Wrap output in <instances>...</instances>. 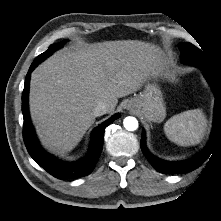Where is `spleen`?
<instances>
[{"mask_svg": "<svg viewBox=\"0 0 221 221\" xmlns=\"http://www.w3.org/2000/svg\"><path fill=\"white\" fill-rule=\"evenodd\" d=\"M207 126L201 109L184 111L171 117L164 125L167 138L180 146L200 143Z\"/></svg>", "mask_w": 221, "mask_h": 221, "instance_id": "spleen-1", "label": "spleen"}]
</instances>
